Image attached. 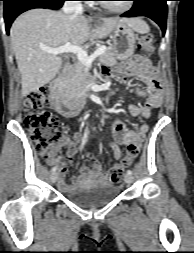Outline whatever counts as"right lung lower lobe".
Returning <instances> with one entry per match:
<instances>
[{"label": "right lung lower lobe", "instance_id": "obj_1", "mask_svg": "<svg viewBox=\"0 0 194 253\" xmlns=\"http://www.w3.org/2000/svg\"><path fill=\"white\" fill-rule=\"evenodd\" d=\"M4 1V20L6 32L9 33L14 19L24 11L33 8H60L65 0H0Z\"/></svg>", "mask_w": 194, "mask_h": 253}]
</instances>
